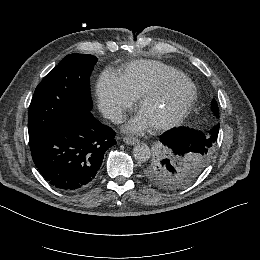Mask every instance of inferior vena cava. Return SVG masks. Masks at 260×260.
I'll list each match as a JSON object with an SVG mask.
<instances>
[{
	"instance_id": "obj_1",
	"label": "inferior vena cava",
	"mask_w": 260,
	"mask_h": 260,
	"mask_svg": "<svg viewBox=\"0 0 260 260\" xmlns=\"http://www.w3.org/2000/svg\"><path fill=\"white\" fill-rule=\"evenodd\" d=\"M109 116H110L111 118L117 119L118 122H119V121H122V114H121L120 111L110 110V111H109Z\"/></svg>"
}]
</instances>
